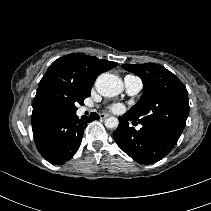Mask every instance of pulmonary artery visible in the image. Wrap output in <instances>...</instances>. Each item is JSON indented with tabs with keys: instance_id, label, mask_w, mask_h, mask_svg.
I'll return each instance as SVG.
<instances>
[{
	"instance_id": "1",
	"label": "pulmonary artery",
	"mask_w": 211,
	"mask_h": 211,
	"mask_svg": "<svg viewBox=\"0 0 211 211\" xmlns=\"http://www.w3.org/2000/svg\"><path fill=\"white\" fill-rule=\"evenodd\" d=\"M124 83H125L126 92L129 95L138 94L141 91L142 86H143L141 79L133 75H127L124 78Z\"/></svg>"
}]
</instances>
